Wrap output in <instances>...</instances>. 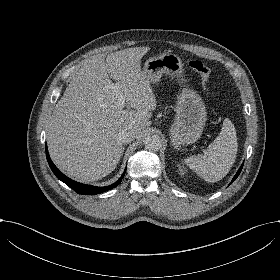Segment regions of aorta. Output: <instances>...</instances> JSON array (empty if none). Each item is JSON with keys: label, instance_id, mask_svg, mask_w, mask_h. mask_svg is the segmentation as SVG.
I'll use <instances>...</instances> for the list:
<instances>
[{"label": "aorta", "instance_id": "obj_1", "mask_svg": "<svg viewBox=\"0 0 280 280\" xmlns=\"http://www.w3.org/2000/svg\"><path fill=\"white\" fill-rule=\"evenodd\" d=\"M144 145L150 152L158 151L162 147V139L156 134L148 135L144 139Z\"/></svg>", "mask_w": 280, "mask_h": 280}]
</instances>
